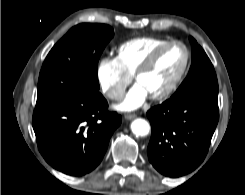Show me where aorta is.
Returning a JSON list of instances; mask_svg holds the SVG:
<instances>
[{"label":"aorta","instance_id":"762f6f07","mask_svg":"<svg viewBox=\"0 0 245 195\" xmlns=\"http://www.w3.org/2000/svg\"><path fill=\"white\" fill-rule=\"evenodd\" d=\"M131 130L137 136H146L150 131V125L146 120L137 118L131 123Z\"/></svg>","mask_w":245,"mask_h":195}]
</instances>
